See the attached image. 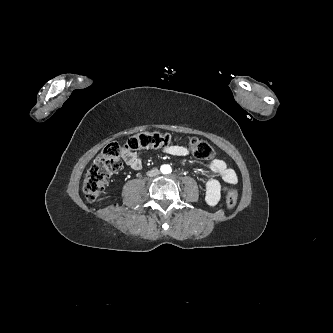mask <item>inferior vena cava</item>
<instances>
[{
  "label": "inferior vena cava",
  "instance_id": "inferior-vena-cava-1",
  "mask_svg": "<svg viewBox=\"0 0 333 333\" xmlns=\"http://www.w3.org/2000/svg\"><path fill=\"white\" fill-rule=\"evenodd\" d=\"M159 170L158 169H153V170H150L147 172V176L149 177H154V176H157L159 174Z\"/></svg>",
  "mask_w": 333,
  "mask_h": 333
}]
</instances>
